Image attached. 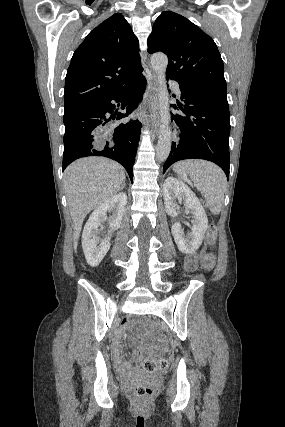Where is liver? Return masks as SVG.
Segmentation results:
<instances>
[{"label": "liver", "instance_id": "6515ba94", "mask_svg": "<svg viewBox=\"0 0 285 427\" xmlns=\"http://www.w3.org/2000/svg\"><path fill=\"white\" fill-rule=\"evenodd\" d=\"M125 179L124 168L104 157L81 158L66 168L63 183L73 220L75 250L87 214L115 196Z\"/></svg>", "mask_w": 285, "mask_h": 427}]
</instances>
